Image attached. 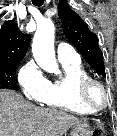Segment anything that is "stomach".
Listing matches in <instances>:
<instances>
[{
  "instance_id": "obj_1",
  "label": "stomach",
  "mask_w": 117,
  "mask_h": 136,
  "mask_svg": "<svg viewBox=\"0 0 117 136\" xmlns=\"http://www.w3.org/2000/svg\"><path fill=\"white\" fill-rule=\"evenodd\" d=\"M92 130L87 123H79L72 127L70 136H91Z\"/></svg>"
}]
</instances>
